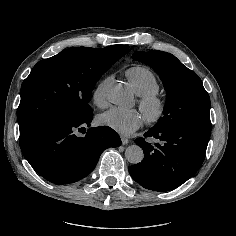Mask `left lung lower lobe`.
Masks as SVG:
<instances>
[{"label": "left lung lower lobe", "mask_w": 236, "mask_h": 236, "mask_svg": "<svg viewBox=\"0 0 236 236\" xmlns=\"http://www.w3.org/2000/svg\"><path fill=\"white\" fill-rule=\"evenodd\" d=\"M211 129L198 126L151 128L137 138L144 159L129 167L132 178L142 187L154 191H169L196 174L205 158ZM146 138L160 140L155 146Z\"/></svg>", "instance_id": "obj_1"}]
</instances>
